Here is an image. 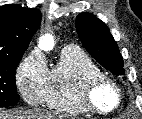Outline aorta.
I'll list each match as a JSON object with an SVG mask.
<instances>
[{"mask_svg": "<svg viewBox=\"0 0 142 119\" xmlns=\"http://www.w3.org/2000/svg\"><path fill=\"white\" fill-rule=\"evenodd\" d=\"M39 47L44 51H51L54 47V39L50 34H45L39 40Z\"/></svg>", "mask_w": 142, "mask_h": 119, "instance_id": "1", "label": "aorta"}]
</instances>
